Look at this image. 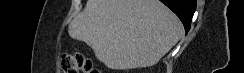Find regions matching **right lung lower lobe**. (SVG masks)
Here are the masks:
<instances>
[{
	"label": "right lung lower lobe",
	"mask_w": 244,
	"mask_h": 73,
	"mask_svg": "<svg viewBox=\"0 0 244 73\" xmlns=\"http://www.w3.org/2000/svg\"><path fill=\"white\" fill-rule=\"evenodd\" d=\"M168 6L182 21L186 33L190 29L191 20L196 9V0H160Z\"/></svg>",
	"instance_id": "98d812e1"
}]
</instances>
